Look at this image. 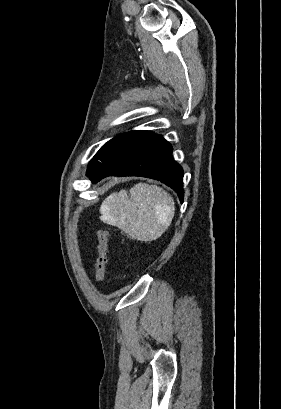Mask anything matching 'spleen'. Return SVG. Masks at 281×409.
I'll list each match as a JSON object with an SVG mask.
<instances>
[{
  "instance_id": "obj_1",
  "label": "spleen",
  "mask_w": 281,
  "mask_h": 409,
  "mask_svg": "<svg viewBox=\"0 0 281 409\" xmlns=\"http://www.w3.org/2000/svg\"><path fill=\"white\" fill-rule=\"evenodd\" d=\"M101 221L118 227L136 241H156L172 223L175 202L156 184L138 182L130 188L111 192L100 207Z\"/></svg>"
}]
</instances>
